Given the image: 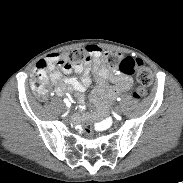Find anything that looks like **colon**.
Here are the masks:
<instances>
[{
    "instance_id": "obj_1",
    "label": "colon",
    "mask_w": 183,
    "mask_h": 183,
    "mask_svg": "<svg viewBox=\"0 0 183 183\" xmlns=\"http://www.w3.org/2000/svg\"><path fill=\"white\" fill-rule=\"evenodd\" d=\"M90 58L87 48H78L61 55L58 64L65 69L73 66H87ZM103 61L110 69H117L126 75L136 74L138 85L133 93L135 99H141L147 95L148 87L152 83V72L141 60L124 57L117 52H105ZM47 70V61L41 60L32 72L31 87L40 98H43L47 93ZM81 128L85 136H90L95 126L93 123L85 121L82 123Z\"/></svg>"
}]
</instances>
